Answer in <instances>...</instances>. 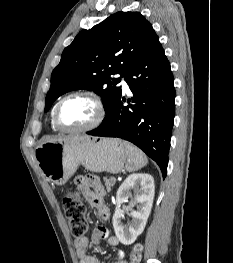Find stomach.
<instances>
[{
  "label": "stomach",
  "instance_id": "1",
  "mask_svg": "<svg viewBox=\"0 0 233 263\" xmlns=\"http://www.w3.org/2000/svg\"><path fill=\"white\" fill-rule=\"evenodd\" d=\"M35 158L47 180L63 185L80 164L92 172L119 173L127 153L119 139L64 136L41 143L35 150Z\"/></svg>",
  "mask_w": 233,
  "mask_h": 263
}]
</instances>
